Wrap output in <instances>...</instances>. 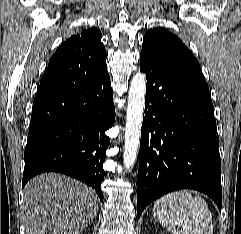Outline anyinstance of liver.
<instances>
[{"label": "liver", "instance_id": "6515ba94", "mask_svg": "<svg viewBox=\"0 0 241 234\" xmlns=\"http://www.w3.org/2000/svg\"><path fill=\"white\" fill-rule=\"evenodd\" d=\"M97 209L95 191L65 175L43 173L24 188L26 234H79Z\"/></svg>", "mask_w": 241, "mask_h": 234}]
</instances>
